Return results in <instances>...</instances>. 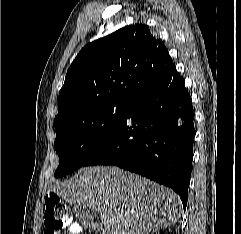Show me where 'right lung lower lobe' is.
Segmentation results:
<instances>
[{
  "label": "right lung lower lobe",
  "instance_id": "98d812e1",
  "mask_svg": "<svg viewBox=\"0 0 241 234\" xmlns=\"http://www.w3.org/2000/svg\"><path fill=\"white\" fill-rule=\"evenodd\" d=\"M194 111L185 82L171 66L127 106L124 118L84 166L116 165L172 188L184 209L194 142Z\"/></svg>",
  "mask_w": 241,
  "mask_h": 234
}]
</instances>
